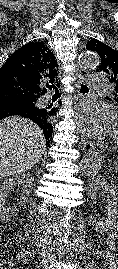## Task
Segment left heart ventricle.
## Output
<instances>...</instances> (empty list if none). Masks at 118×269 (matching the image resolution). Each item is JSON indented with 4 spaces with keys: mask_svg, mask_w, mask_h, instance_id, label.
Instances as JSON below:
<instances>
[{
    "mask_svg": "<svg viewBox=\"0 0 118 269\" xmlns=\"http://www.w3.org/2000/svg\"><path fill=\"white\" fill-rule=\"evenodd\" d=\"M113 132H115V133L118 132V123L115 122L114 120H113V122H112V133H113Z\"/></svg>",
    "mask_w": 118,
    "mask_h": 269,
    "instance_id": "left-heart-ventricle-1",
    "label": "left heart ventricle"
}]
</instances>
